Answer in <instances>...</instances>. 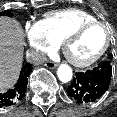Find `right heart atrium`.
Segmentation results:
<instances>
[{"label":"right heart atrium","mask_w":117,"mask_h":117,"mask_svg":"<svg viewBox=\"0 0 117 117\" xmlns=\"http://www.w3.org/2000/svg\"><path fill=\"white\" fill-rule=\"evenodd\" d=\"M24 37L33 60H40L44 53L51 52L58 46V42L49 34L41 21L27 23Z\"/></svg>","instance_id":"obj_1"}]
</instances>
